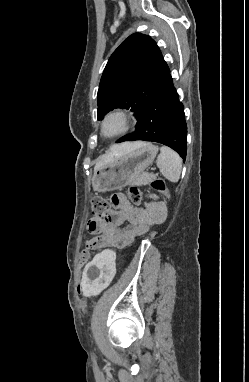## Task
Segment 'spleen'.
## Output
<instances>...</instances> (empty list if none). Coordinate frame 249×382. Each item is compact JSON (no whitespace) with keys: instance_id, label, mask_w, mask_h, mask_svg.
<instances>
[{"instance_id":"1","label":"spleen","mask_w":249,"mask_h":382,"mask_svg":"<svg viewBox=\"0 0 249 382\" xmlns=\"http://www.w3.org/2000/svg\"><path fill=\"white\" fill-rule=\"evenodd\" d=\"M157 167L162 175L169 181L175 183L180 179L182 170L181 157L172 149L166 146L160 148V154L157 157Z\"/></svg>"}]
</instances>
